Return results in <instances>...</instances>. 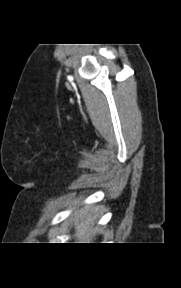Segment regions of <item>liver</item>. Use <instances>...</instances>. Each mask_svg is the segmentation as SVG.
I'll return each instance as SVG.
<instances>
[{"instance_id": "1", "label": "liver", "mask_w": 181, "mask_h": 288, "mask_svg": "<svg viewBox=\"0 0 181 288\" xmlns=\"http://www.w3.org/2000/svg\"><path fill=\"white\" fill-rule=\"evenodd\" d=\"M98 215L95 213L92 206H86L73 213L70 220L74 221L76 240L78 241H92L97 232L94 223Z\"/></svg>"}]
</instances>
